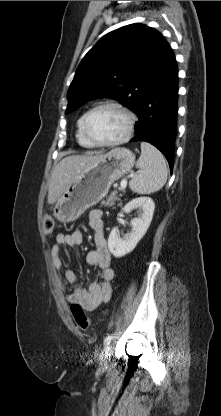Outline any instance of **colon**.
Returning a JSON list of instances; mask_svg holds the SVG:
<instances>
[{"label":"colon","mask_w":221,"mask_h":416,"mask_svg":"<svg viewBox=\"0 0 221 416\" xmlns=\"http://www.w3.org/2000/svg\"><path fill=\"white\" fill-rule=\"evenodd\" d=\"M43 228L46 234H51L53 232L54 220L52 217L48 216L44 219ZM70 309L78 327L82 330H87L90 326V322L81 305L73 303L71 304Z\"/></svg>","instance_id":"obj_1"}]
</instances>
